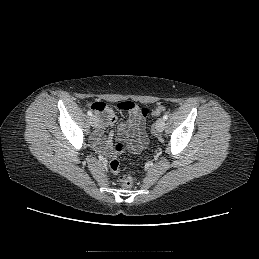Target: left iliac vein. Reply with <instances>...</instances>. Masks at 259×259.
Segmentation results:
<instances>
[{"label": "left iliac vein", "mask_w": 259, "mask_h": 259, "mask_svg": "<svg viewBox=\"0 0 259 259\" xmlns=\"http://www.w3.org/2000/svg\"><path fill=\"white\" fill-rule=\"evenodd\" d=\"M165 128V120L163 118H160L156 121L155 129L157 132H162Z\"/></svg>", "instance_id": "left-iliac-vein-1"}]
</instances>
